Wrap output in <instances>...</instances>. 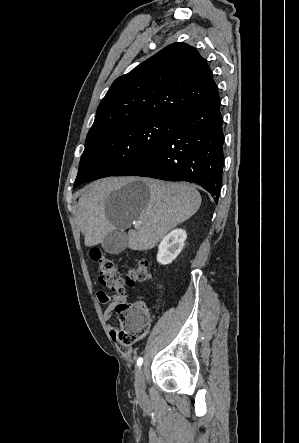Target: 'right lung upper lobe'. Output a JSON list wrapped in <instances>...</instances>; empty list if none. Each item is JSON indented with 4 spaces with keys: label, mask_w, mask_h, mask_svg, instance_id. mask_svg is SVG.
Wrapping results in <instances>:
<instances>
[{
    "label": "right lung upper lobe",
    "mask_w": 299,
    "mask_h": 443,
    "mask_svg": "<svg viewBox=\"0 0 299 443\" xmlns=\"http://www.w3.org/2000/svg\"><path fill=\"white\" fill-rule=\"evenodd\" d=\"M215 88L212 72L198 51L173 43L113 82L87 137L135 120L174 117Z\"/></svg>",
    "instance_id": "1"
}]
</instances>
